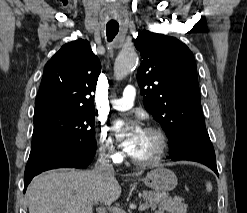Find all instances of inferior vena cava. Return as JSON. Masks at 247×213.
Here are the masks:
<instances>
[{"mask_svg":"<svg viewBox=\"0 0 247 213\" xmlns=\"http://www.w3.org/2000/svg\"><path fill=\"white\" fill-rule=\"evenodd\" d=\"M109 147H102L99 153V158L95 165V170L102 175L114 173L113 165L110 163Z\"/></svg>","mask_w":247,"mask_h":213,"instance_id":"1","label":"inferior vena cava"}]
</instances>
